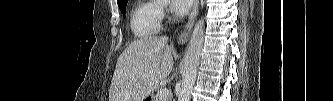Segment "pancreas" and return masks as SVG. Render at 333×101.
Listing matches in <instances>:
<instances>
[{
    "label": "pancreas",
    "mask_w": 333,
    "mask_h": 101,
    "mask_svg": "<svg viewBox=\"0 0 333 101\" xmlns=\"http://www.w3.org/2000/svg\"><path fill=\"white\" fill-rule=\"evenodd\" d=\"M160 90L157 92V94L155 96V101H168V97L166 99H161L160 98Z\"/></svg>",
    "instance_id": "pancreas-1"
}]
</instances>
